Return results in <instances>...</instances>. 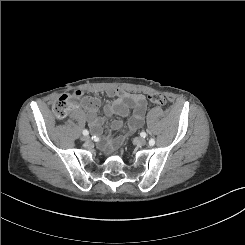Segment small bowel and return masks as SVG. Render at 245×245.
<instances>
[{
    "instance_id": "obj_1",
    "label": "small bowel",
    "mask_w": 245,
    "mask_h": 245,
    "mask_svg": "<svg viewBox=\"0 0 245 245\" xmlns=\"http://www.w3.org/2000/svg\"><path fill=\"white\" fill-rule=\"evenodd\" d=\"M75 93L82 96V91H76ZM107 95L111 97L112 102L105 105L103 110V116L97 115L99 107V101L97 98L88 96L82 101V106L86 110V118L95 135L102 133V125L107 118L111 116H118L115 119L111 127L113 130H118L122 127L123 121L129 116L130 110H133L132 116L129 118L128 126L130 131L139 129L144 123L145 113L147 109V103L144 95L138 93H131L120 89L111 88L106 91ZM103 147H109L111 145L110 136H106L101 142Z\"/></svg>"
}]
</instances>
